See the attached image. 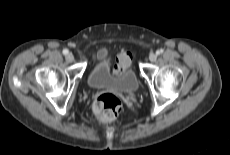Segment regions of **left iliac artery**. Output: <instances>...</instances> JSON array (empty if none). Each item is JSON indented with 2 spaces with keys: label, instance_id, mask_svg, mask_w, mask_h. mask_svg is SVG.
Here are the masks:
<instances>
[{
  "label": "left iliac artery",
  "instance_id": "obj_1",
  "mask_svg": "<svg viewBox=\"0 0 230 155\" xmlns=\"http://www.w3.org/2000/svg\"><path fill=\"white\" fill-rule=\"evenodd\" d=\"M162 53H163V49H160V50H157V51H156V54H158V55H159V54H162Z\"/></svg>",
  "mask_w": 230,
  "mask_h": 155
}]
</instances>
